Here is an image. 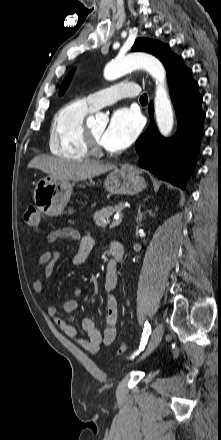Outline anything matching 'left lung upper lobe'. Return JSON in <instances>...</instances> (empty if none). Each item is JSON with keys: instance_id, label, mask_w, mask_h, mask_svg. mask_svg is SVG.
Listing matches in <instances>:
<instances>
[{"instance_id": "5c2ea615", "label": "left lung upper lobe", "mask_w": 221, "mask_h": 440, "mask_svg": "<svg viewBox=\"0 0 221 440\" xmlns=\"http://www.w3.org/2000/svg\"><path fill=\"white\" fill-rule=\"evenodd\" d=\"M132 51H143L148 52L159 58V60L163 63L170 52V49L167 45L158 42L156 40L139 38L135 41ZM74 69L68 73L65 79L62 82V85L59 90V95H63L68 88L70 81L73 77Z\"/></svg>"}]
</instances>
